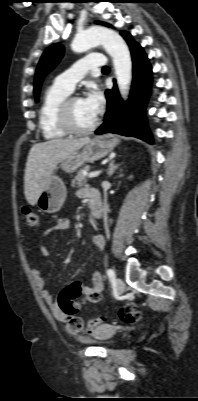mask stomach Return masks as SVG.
I'll return each mask as SVG.
<instances>
[{"mask_svg":"<svg viewBox=\"0 0 198 401\" xmlns=\"http://www.w3.org/2000/svg\"><path fill=\"white\" fill-rule=\"evenodd\" d=\"M119 142L120 140L116 136H102L90 139L82 151L62 161L60 167L67 173L75 172L86 162L105 157ZM66 197L67 189L64 182L57 175L52 174L37 200V205L43 212L56 213L62 208Z\"/></svg>","mask_w":198,"mask_h":401,"instance_id":"0dacf381","label":"stomach"}]
</instances>
